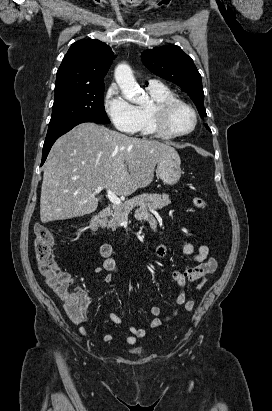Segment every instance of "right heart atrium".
Segmentation results:
<instances>
[{
    "label": "right heart atrium",
    "instance_id": "right-heart-atrium-1",
    "mask_svg": "<svg viewBox=\"0 0 272 411\" xmlns=\"http://www.w3.org/2000/svg\"><path fill=\"white\" fill-rule=\"evenodd\" d=\"M104 109L119 131L132 134L138 130L139 114L137 107L119 92L116 85H111L107 89L104 96Z\"/></svg>",
    "mask_w": 272,
    "mask_h": 411
}]
</instances>
